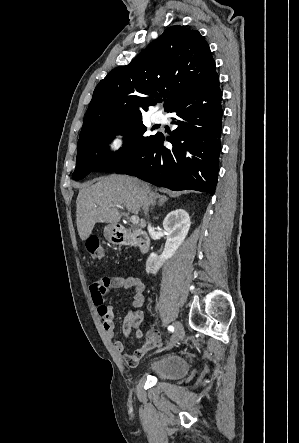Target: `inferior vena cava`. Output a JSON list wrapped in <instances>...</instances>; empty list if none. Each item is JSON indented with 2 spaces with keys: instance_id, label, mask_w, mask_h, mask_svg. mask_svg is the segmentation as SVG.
<instances>
[{
  "instance_id": "obj_1",
  "label": "inferior vena cava",
  "mask_w": 299,
  "mask_h": 443,
  "mask_svg": "<svg viewBox=\"0 0 299 443\" xmlns=\"http://www.w3.org/2000/svg\"><path fill=\"white\" fill-rule=\"evenodd\" d=\"M140 192H141L142 199L144 201L143 210L147 214V211H148V201H147V197H146V192H145V190L143 188L140 189Z\"/></svg>"
}]
</instances>
